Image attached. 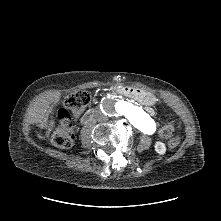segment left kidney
<instances>
[{
  "label": "left kidney",
  "mask_w": 221,
  "mask_h": 221,
  "mask_svg": "<svg viewBox=\"0 0 221 221\" xmlns=\"http://www.w3.org/2000/svg\"><path fill=\"white\" fill-rule=\"evenodd\" d=\"M154 148L159 155H164L166 153V145L163 142H156Z\"/></svg>",
  "instance_id": "obj_1"
}]
</instances>
